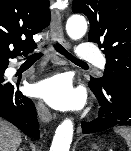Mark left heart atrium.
<instances>
[{"label":"left heart atrium","mask_w":131,"mask_h":151,"mask_svg":"<svg viewBox=\"0 0 131 151\" xmlns=\"http://www.w3.org/2000/svg\"><path fill=\"white\" fill-rule=\"evenodd\" d=\"M32 94L59 109L78 106L82 101V94L74 90L70 80L64 76H55L39 82L33 86Z\"/></svg>","instance_id":"39dd6f15"}]
</instances>
